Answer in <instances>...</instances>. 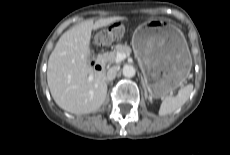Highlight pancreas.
Here are the masks:
<instances>
[{
    "mask_svg": "<svg viewBox=\"0 0 230 155\" xmlns=\"http://www.w3.org/2000/svg\"><path fill=\"white\" fill-rule=\"evenodd\" d=\"M118 53L129 55L131 53V48L127 45L117 44L113 51L103 53L99 56V58L104 64L110 66L116 63Z\"/></svg>",
    "mask_w": 230,
    "mask_h": 155,
    "instance_id": "pancreas-1",
    "label": "pancreas"
}]
</instances>
